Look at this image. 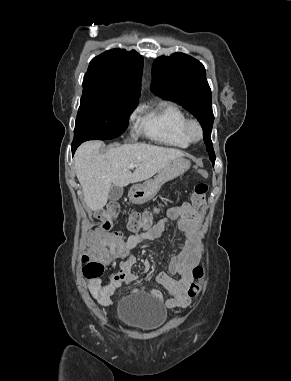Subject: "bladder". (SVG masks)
I'll return each instance as SVG.
<instances>
[{
    "label": "bladder",
    "mask_w": 291,
    "mask_h": 381,
    "mask_svg": "<svg viewBox=\"0 0 291 381\" xmlns=\"http://www.w3.org/2000/svg\"><path fill=\"white\" fill-rule=\"evenodd\" d=\"M167 311L158 301L147 294L124 297L117 308V319L128 329L149 332L163 325Z\"/></svg>",
    "instance_id": "bladder-1"
}]
</instances>
